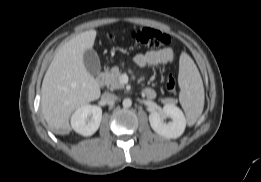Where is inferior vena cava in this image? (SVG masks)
<instances>
[{
    "label": "inferior vena cava",
    "instance_id": "inferior-vena-cava-1",
    "mask_svg": "<svg viewBox=\"0 0 261 182\" xmlns=\"http://www.w3.org/2000/svg\"><path fill=\"white\" fill-rule=\"evenodd\" d=\"M102 99L106 102L111 103L117 100V96L112 93H104L102 95Z\"/></svg>",
    "mask_w": 261,
    "mask_h": 182
}]
</instances>
